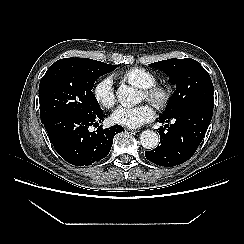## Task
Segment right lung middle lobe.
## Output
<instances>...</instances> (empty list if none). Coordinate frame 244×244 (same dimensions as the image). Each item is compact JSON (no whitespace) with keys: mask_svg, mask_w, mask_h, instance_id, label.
Returning <instances> with one entry per match:
<instances>
[{"mask_svg":"<svg viewBox=\"0 0 244 244\" xmlns=\"http://www.w3.org/2000/svg\"><path fill=\"white\" fill-rule=\"evenodd\" d=\"M118 65L88 58H65L56 61L39 85L41 121L59 114H97L102 111L92 89L100 76Z\"/></svg>","mask_w":244,"mask_h":244,"instance_id":"dd1d6c3e","label":"right lung middle lobe"}]
</instances>
